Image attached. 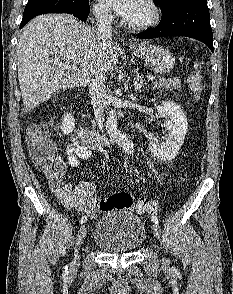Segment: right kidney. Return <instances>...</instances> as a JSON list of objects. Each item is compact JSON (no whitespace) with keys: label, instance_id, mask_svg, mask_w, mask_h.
I'll use <instances>...</instances> for the list:
<instances>
[{"label":"right kidney","instance_id":"obj_1","mask_svg":"<svg viewBox=\"0 0 233 294\" xmlns=\"http://www.w3.org/2000/svg\"><path fill=\"white\" fill-rule=\"evenodd\" d=\"M63 134L69 135L75 129V120L71 113H65L60 126Z\"/></svg>","mask_w":233,"mask_h":294}]
</instances>
